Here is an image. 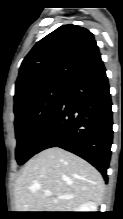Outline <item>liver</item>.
Here are the masks:
<instances>
[{"label": "liver", "mask_w": 123, "mask_h": 219, "mask_svg": "<svg viewBox=\"0 0 123 219\" xmlns=\"http://www.w3.org/2000/svg\"><path fill=\"white\" fill-rule=\"evenodd\" d=\"M51 191L46 196L44 191ZM104 180L91 164L59 147L31 158L14 185L16 212H76L86 202L104 198ZM68 195L71 199H58Z\"/></svg>", "instance_id": "6515ba94"}]
</instances>
